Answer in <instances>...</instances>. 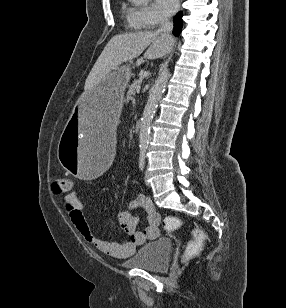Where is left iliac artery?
Returning a JSON list of instances; mask_svg holds the SVG:
<instances>
[{
  "label": "left iliac artery",
  "mask_w": 286,
  "mask_h": 308,
  "mask_svg": "<svg viewBox=\"0 0 286 308\" xmlns=\"http://www.w3.org/2000/svg\"><path fill=\"white\" fill-rule=\"evenodd\" d=\"M146 146H142L140 148V156H139V167L141 170H143L144 168V164H145V158H146Z\"/></svg>",
  "instance_id": "obj_1"
}]
</instances>
